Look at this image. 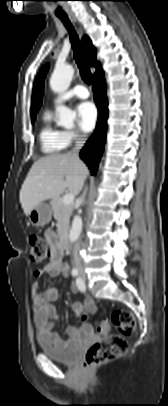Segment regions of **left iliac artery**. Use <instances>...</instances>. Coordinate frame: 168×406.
<instances>
[{"mask_svg": "<svg viewBox=\"0 0 168 406\" xmlns=\"http://www.w3.org/2000/svg\"><path fill=\"white\" fill-rule=\"evenodd\" d=\"M76 285L81 292L85 291V284L81 278H77Z\"/></svg>", "mask_w": 168, "mask_h": 406, "instance_id": "left-iliac-artery-1", "label": "left iliac artery"}]
</instances>
